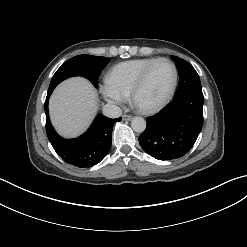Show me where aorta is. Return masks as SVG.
<instances>
[{"label":"aorta","instance_id":"aorta-1","mask_svg":"<svg viewBox=\"0 0 247 247\" xmlns=\"http://www.w3.org/2000/svg\"><path fill=\"white\" fill-rule=\"evenodd\" d=\"M131 127L135 132L142 133L146 128V121L142 117H134L131 122Z\"/></svg>","mask_w":247,"mask_h":247}]
</instances>
